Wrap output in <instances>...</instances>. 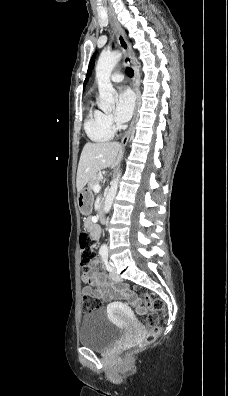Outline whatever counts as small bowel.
<instances>
[{
  "mask_svg": "<svg viewBox=\"0 0 228 396\" xmlns=\"http://www.w3.org/2000/svg\"><path fill=\"white\" fill-rule=\"evenodd\" d=\"M84 227L89 231L92 240L98 239L99 228L95 225L93 219H87ZM96 266L97 261H94L91 266V271L82 275V280L85 283L82 290L84 294H94L105 302H111L116 299H126L132 306L136 307L138 313L143 312L139 299L133 291L128 289L125 285H118L110 281L105 275L96 270ZM93 287H95V289H93ZM117 305L129 310V308L121 302H117Z\"/></svg>",
  "mask_w": 228,
  "mask_h": 396,
  "instance_id": "obj_1",
  "label": "small bowel"
}]
</instances>
